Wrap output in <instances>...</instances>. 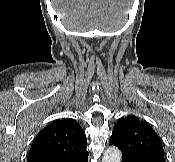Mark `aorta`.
<instances>
[{"label":"aorta","instance_id":"762f6f07","mask_svg":"<svg viewBox=\"0 0 175 162\" xmlns=\"http://www.w3.org/2000/svg\"><path fill=\"white\" fill-rule=\"evenodd\" d=\"M102 162H121V151L115 147H108L102 157Z\"/></svg>","mask_w":175,"mask_h":162}]
</instances>
